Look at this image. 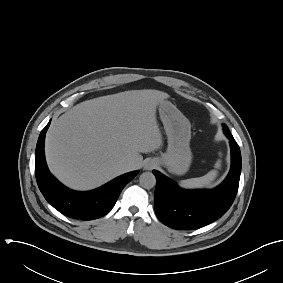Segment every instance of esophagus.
<instances>
[{
	"label": "esophagus",
	"mask_w": 283,
	"mask_h": 283,
	"mask_svg": "<svg viewBox=\"0 0 283 283\" xmlns=\"http://www.w3.org/2000/svg\"><path fill=\"white\" fill-rule=\"evenodd\" d=\"M156 166L155 162L149 161L145 164L144 169L145 170H151Z\"/></svg>",
	"instance_id": "34e87169"
}]
</instances>
